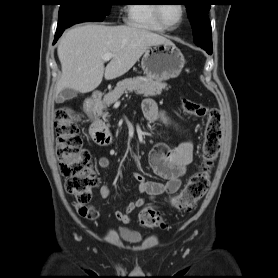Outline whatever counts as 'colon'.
Listing matches in <instances>:
<instances>
[{"mask_svg": "<svg viewBox=\"0 0 278 278\" xmlns=\"http://www.w3.org/2000/svg\"><path fill=\"white\" fill-rule=\"evenodd\" d=\"M184 111L194 117L205 118L202 144V166L184 189L171 199L174 208L191 211L205 195L210 184L212 166L219 154L222 138V117L217 108L205 106L189 99L182 101ZM81 116L69 106L56 110L54 128L56 133V154L60 171L65 178V189L75 197L76 203L85 205L91 199V191L98 179L90 152L82 147L79 134ZM142 226L161 228L165 226L161 215L154 208H144L139 214Z\"/></svg>", "mask_w": 278, "mask_h": 278, "instance_id": "1", "label": "colon"}]
</instances>
